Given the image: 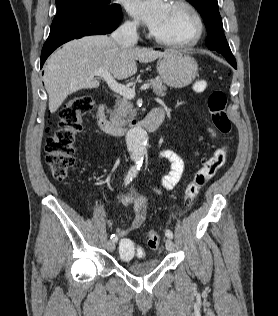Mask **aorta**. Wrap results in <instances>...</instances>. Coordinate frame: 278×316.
I'll return each instance as SVG.
<instances>
[{"instance_id":"1","label":"aorta","mask_w":278,"mask_h":316,"mask_svg":"<svg viewBox=\"0 0 278 316\" xmlns=\"http://www.w3.org/2000/svg\"><path fill=\"white\" fill-rule=\"evenodd\" d=\"M147 142V132L141 127H134L126 134V145L136 169L143 165Z\"/></svg>"}]
</instances>
